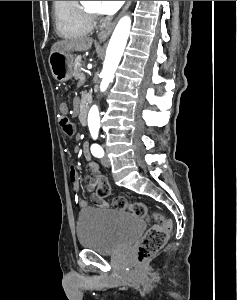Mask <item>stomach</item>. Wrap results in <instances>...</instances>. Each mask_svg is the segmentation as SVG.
<instances>
[{
	"mask_svg": "<svg viewBox=\"0 0 237 300\" xmlns=\"http://www.w3.org/2000/svg\"><path fill=\"white\" fill-rule=\"evenodd\" d=\"M51 73L59 83L69 81L73 75L74 55L70 53H51L49 55Z\"/></svg>",
	"mask_w": 237,
	"mask_h": 300,
	"instance_id": "1",
	"label": "stomach"
}]
</instances>
